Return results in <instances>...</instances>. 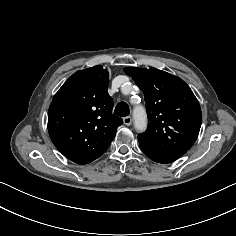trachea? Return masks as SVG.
<instances>
[{"label": "trachea", "instance_id": "obj_1", "mask_svg": "<svg viewBox=\"0 0 236 236\" xmlns=\"http://www.w3.org/2000/svg\"><path fill=\"white\" fill-rule=\"evenodd\" d=\"M114 114L117 116L125 117L130 114L129 106L125 102H120L117 104Z\"/></svg>", "mask_w": 236, "mask_h": 236}]
</instances>
